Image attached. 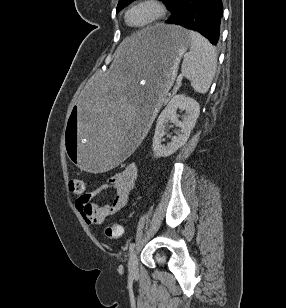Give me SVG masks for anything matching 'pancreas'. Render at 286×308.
<instances>
[{
  "mask_svg": "<svg viewBox=\"0 0 286 308\" xmlns=\"http://www.w3.org/2000/svg\"><path fill=\"white\" fill-rule=\"evenodd\" d=\"M177 90H178V87H176V88L174 89V92H177Z\"/></svg>",
  "mask_w": 286,
  "mask_h": 308,
  "instance_id": "pancreas-1",
  "label": "pancreas"
}]
</instances>
